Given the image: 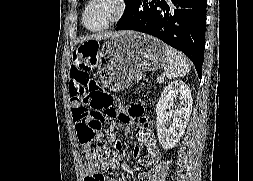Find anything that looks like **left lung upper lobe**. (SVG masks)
<instances>
[{
  "label": "left lung upper lobe",
  "instance_id": "left-lung-upper-lobe-1",
  "mask_svg": "<svg viewBox=\"0 0 253 181\" xmlns=\"http://www.w3.org/2000/svg\"><path fill=\"white\" fill-rule=\"evenodd\" d=\"M136 1H137V0H129V2L126 3V8H125L124 14H123L122 18L119 20V22H120L121 20H123V19L131 12V10L133 9V7H134ZM119 22H118V23H119ZM118 23H117V24H118Z\"/></svg>",
  "mask_w": 253,
  "mask_h": 181
}]
</instances>
